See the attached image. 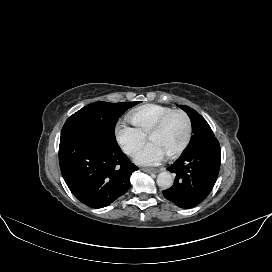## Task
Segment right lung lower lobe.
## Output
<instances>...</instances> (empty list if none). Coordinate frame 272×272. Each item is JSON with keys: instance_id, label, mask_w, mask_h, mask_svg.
Segmentation results:
<instances>
[{"instance_id": "1", "label": "right lung lower lobe", "mask_w": 272, "mask_h": 272, "mask_svg": "<svg viewBox=\"0 0 272 272\" xmlns=\"http://www.w3.org/2000/svg\"><path fill=\"white\" fill-rule=\"evenodd\" d=\"M59 164L72 194L96 209L108 206L126 193L130 175L138 169L116 140L80 126L62 128Z\"/></svg>"}]
</instances>
